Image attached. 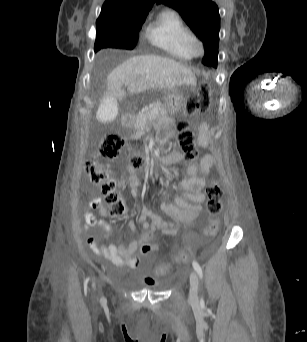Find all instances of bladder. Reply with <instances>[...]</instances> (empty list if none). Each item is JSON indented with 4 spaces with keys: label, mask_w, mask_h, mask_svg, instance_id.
I'll return each mask as SVG.
<instances>
[{
    "label": "bladder",
    "mask_w": 307,
    "mask_h": 342,
    "mask_svg": "<svg viewBox=\"0 0 307 342\" xmlns=\"http://www.w3.org/2000/svg\"><path fill=\"white\" fill-rule=\"evenodd\" d=\"M142 284L144 287H146L147 289H151V290H160L163 288L161 283L158 280H154L150 282L146 280V277H143Z\"/></svg>",
    "instance_id": "31cf9c89"
}]
</instances>
